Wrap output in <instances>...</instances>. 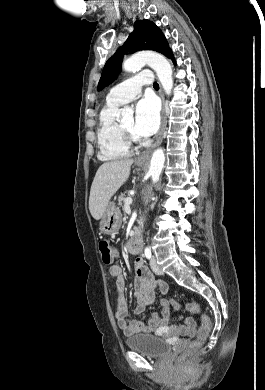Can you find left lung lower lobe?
I'll list each match as a JSON object with an SVG mask.
<instances>
[{
	"label": "left lung lower lobe",
	"mask_w": 265,
	"mask_h": 390,
	"mask_svg": "<svg viewBox=\"0 0 265 390\" xmlns=\"http://www.w3.org/2000/svg\"><path fill=\"white\" fill-rule=\"evenodd\" d=\"M172 61H173L174 64L176 63L174 57L172 58Z\"/></svg>",
	"instance_id": "obj_1"
}]
</instances>
